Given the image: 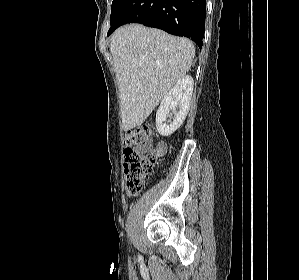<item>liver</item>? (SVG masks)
<instances>
[{"mask_svg": "<svg viewBox=\"0 0 299 280\" xmlns=\"http://www.w3.org/2000/svg\"><path fill=\"white\" fill-rule=\"evenodd\" d=\"M110 51L120 88L125 131L147 119L189 71L195 56L194 44L189 39L139 24L117 29L111 38Z\"/></svg>", "mask_w": 299, "mask_h": 280, "instance_id": "obj_1", "label": "liver"}]
</instances>
